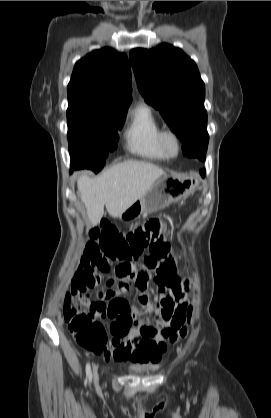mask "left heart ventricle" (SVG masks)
Segmentation results:
<instances>
[{"mask_svg": "<svg viewBox=\"0 0 271 418\" xmlns=\"http://www.w3.org/2000/svg\"><path fill=\"white\" fill-rule=\"evenodd\" d=\"M169 146L171 147V148H173V143L170 141L169 142Z\"/></svg>", "mask_w": 271, "mask_h": 418, "instance_id": "obj_1", "label": "left heart ventricle"}]
</instances>
